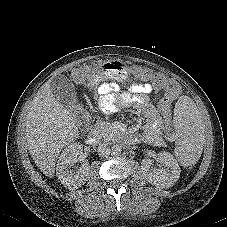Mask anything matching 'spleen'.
<instances>
[{
    "label": "spleen",
    "mask_w": 227,
    "mask_h": 227,
    "mask_svg": "<svg viewBox=\"0 0 227 227\" xmlns=\"http://www.w3.org/2000/svg\"><path fill=\"white\" fill-rule=\"evenodd\" d=\"M175 122L178 129H183L189 134V146L180 160L183 165L189 166L198 160L201 150V125L199 124L200 113L194 107L193 101L187 96L178 97L173 103ZM189 131V132H188ZM198 131V132H194Z\"/></svg>",
    "instance_id": "spleen-1"
}]
</instances>
